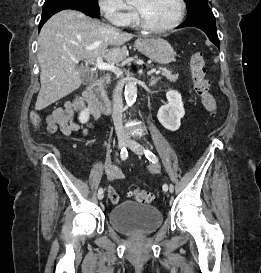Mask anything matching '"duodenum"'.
I'll list each match as a JSON object with an SVG mask.
<instances>
[{
	"mask_svg": "<svg viewBox=\"0 0 261 273\" xmlns=\"http://www.w3.org/2000/svg\"><path fill=\"white\" fill-rule=\"evenodd\" d=\"M103 78H99L90 83L83 93V98L96 110L104 114H109L111 103L108 97L103 93Z\"/></svg>",
	"mask_w": 261,
	"mask_h": 273,
	"instance_id": "1",
	"label": "duodenum"
}]
</instances>
